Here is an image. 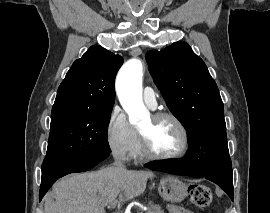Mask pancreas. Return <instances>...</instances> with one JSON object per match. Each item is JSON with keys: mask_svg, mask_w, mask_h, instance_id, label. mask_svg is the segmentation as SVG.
I'll list each match as a JSON object with an SVG mask.
<instances>
[{"mask_svg": "<svg viewBox=\"0 0 270 213\" xmlns=\"http://www.w3.org/2000/svg\"><path fill=\"white\" fill-rule=\"evenodd\" d=\"M148 208L150 211H152L151 213H164V211L161 209L159 205H156L152 202L148 204Z\"/></svg>", "mask_w": 270, "mask_h": 213, "instance_id": "1", "label": "pancreas"}]
</instances>
